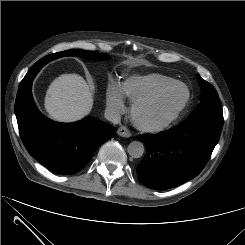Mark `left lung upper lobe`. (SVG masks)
Listing matches in <instances>:
<instances>
[{"label": "left lung upper lobe", "instance_id": "1", "mask_svg": "<svg viewBox=\"0 0 245 245\" xmlns=\"http://www.w3.org/2000/svg\"><path fill=\"white\" fill-rule=\"evenodd\" d=\"M201 87V102L184 122L204 121L223 126V112L215 88L197 74Z\"/></svg>", "mask_w": 245, "mask_h": 245}]
</instances>
